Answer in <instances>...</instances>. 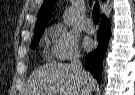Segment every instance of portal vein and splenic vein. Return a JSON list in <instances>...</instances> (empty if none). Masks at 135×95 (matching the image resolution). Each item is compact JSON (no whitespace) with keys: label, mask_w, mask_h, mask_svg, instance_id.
<instances>
[{"label":"portal vein and splenic vein","mask_w":135,"mask_h":95,"mask_svg":"<svg viewBox=\"0 0 135 95\" xmlns=\"http://www.w3.org/2000/svg\"><path fill=\"white\" fill-rule=\"evenodd\" d=\"M60 94H61V95H63V92H62V91H60Z\"/></svg>","instance_id":"portal-vein-and-splenic-vein-1"}]
</instances>
